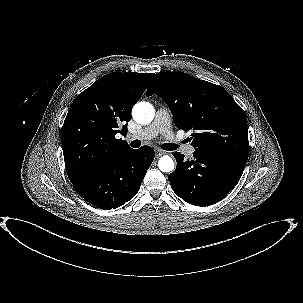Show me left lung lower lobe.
<instances>
[{"label":"left lung lower lobe","mask_w":303,"mask_h":303,"mask_svg":"<svg viewBox=\"0 0 303 303\" xmlns=\"http://www.w3.org/2000/svg\"><path fill=\"white\" fill-rule=\"evenodd\" d=\"M177 167L169 175L173 191L196 206L217 203L237 184L248 156L213 151H194L192 160L173 152Z\"/></svg>","instance_id":"obj_1"}]
</instances>
